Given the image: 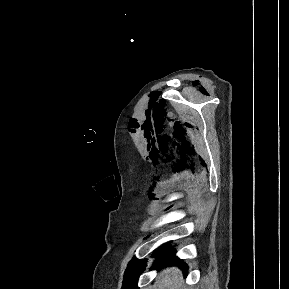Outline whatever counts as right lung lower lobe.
Returning <instances> with one entry per match:
<instances>
[{
    "label": "right lung lower lobe",
    "instance_id": "1",
    "mask_svg": "<svg viewBox=\"0 0 289 289\" xmlns=\"http://www.w3.org/2000/svg\"><path fill=\"white\" fill-rule=\"evenodd\" d=\"M166 248H167V246H164V248L162 250L160 249L159 252H158V254H160L161 257H159L157 260H159L160 262L164 261L163 254L166 253L165 252ZM170 254H172V252L171 251H167L165 257H168V256L170 257Z\"/></svg>",
    "mask_w": 289,
    "mask_h": 289
}]
</instances>
